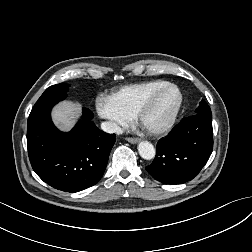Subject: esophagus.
<instances>
[{
	"instance_id": "1",
	"label": "esophagus",
	"mask_w": 252,
	"mask_h": 252,
	"mask_svg": "<svg viewBox=\"0 0 252 252\" xmlns=\"http://www.w3.org/2000/svg\"><path fill=\"white\" fill-rule=\"evenodd\" d=\"M126 140L131 144H136L139 140L138 138L127 137Z\"/></svg>"
}]
</instances>
